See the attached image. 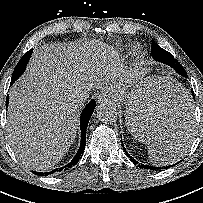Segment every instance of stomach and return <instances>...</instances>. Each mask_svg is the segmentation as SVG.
<instances>
[{
    "instance_id": "obj_1",
    "label": "stomach",
    "mask_w": 203,
    "mask_h": 203,
    "mask_svg": "<svg viewBox=\"0 0 203 203\" xmlns=\"http://www.w3.org/2000/svg\"><path fill=\"white\" fill-rule=\"evenodd\" d=\"M146 86L148 84V82H145ZM145 92V89L139 93H129L127 95H123V94H118L116 97H114L117 100H120L122 102H124L125 107H126V121L128 122V120H131L130 117L133 116V111L135 109V107L137 106V104L140 102V100L142 99V96ZM157 116H154V119H156ZM145 139H148L145 135Z\"/></svg>"
}]
</instances>
